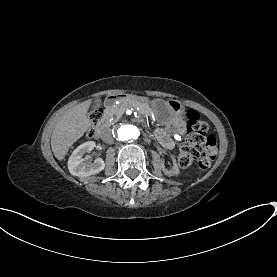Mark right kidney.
I'll use <instances>...</instances> for the list:
<instances>
[{"label":"right kidney","instance_id":"ca27d5eb","mask_svg":"<svg viewBox=\"0 0 277 277\" xmlns=\"http://www.w3.org/2000/svg\"><path fill=\"white\" fill-rule=\"evenodd\" d=\"M95 147L93 141H88L77 147L70 156L67 164V168L71 175L85 178L91 175L100 173L105 168V162L102 158L96 159L94 162H89L83 155L92 152Z\"/></svg>","mask_w":277,"mask_h":277}]
</instances>
